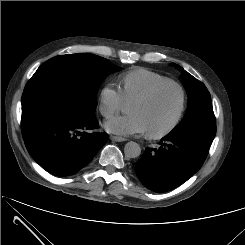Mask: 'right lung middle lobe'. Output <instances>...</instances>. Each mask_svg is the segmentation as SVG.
<instances>
[{
	"instance_id": "dd1d6c3e",
	"label": "right lung middle lobe",
	"mask_w": 245,
	"mask_h": 245,
	"mask_svg": "<svg viewBox=\"0 0 245 245\" xmlns=\"http://www.w3.org/2000/svg\"><path fill=\"white\" fill-rule=\"evenodd\" d=\"M62 80L28 81L22 95V126L52 117L88 120L94 117L101 81L120 67L94 54H70L48 60Z\"/></svg>"
}]
</instances>
